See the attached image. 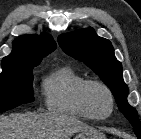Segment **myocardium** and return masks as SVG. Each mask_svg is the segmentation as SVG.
I'll return each instance as SVG.
<instances>
[{
	"mask_svg": "<svg viewBox=\"0 0 141 139\" xmlns=\"http://www.w3.org/2000/svg\"><path fill=\"white\" fill-rule=\"evenodd\" d=\"M92 88H100L107 94L109 98L110 109L106 115L99 116L93 112L89 101V92ZM79 98L82 107L84 108V110L86 111V113L89 115L91 119L102 121L109 118L114 112L115 98L113 92L110 89V87L102 81L86 80V82L80 88Z\"/></svg>",
	"mask_w": 141,
	"mask_h": 139,
	"instance_id": "f54148a6",
	"label": "myocardium"
}]
</instances>
